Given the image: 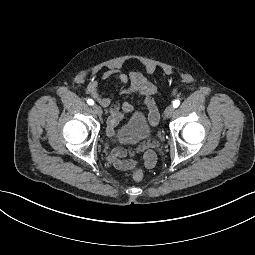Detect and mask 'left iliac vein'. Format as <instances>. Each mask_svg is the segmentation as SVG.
<instances>
[{
    "mask_svg": "<svg viewBox=\"0 0 255 255\" xmlns=\"http://www.w3.org/2000/svg\"><path fill=\"white\" fill-rule=\"evenodd\" d=\"M175 108L172 105H169L164 112V115L166 118H170L172 114L174 113Z\"/></svg>",
    "mask_w": 255,
    "mask_h": 255,
    "instance_id": "4c4485c4",
    "label": "left iliac vein"
}]
</instances>
